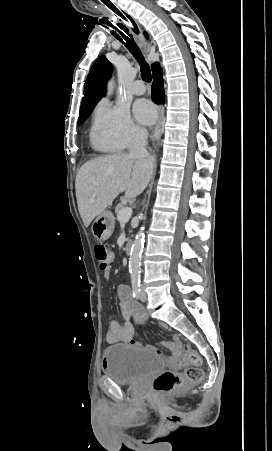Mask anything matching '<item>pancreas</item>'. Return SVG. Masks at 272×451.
<instances>
[{
	"instance_id": "pancreas-1",
	"label": "pancreas",
	"mask_w": 272,
	"mask_h": 451,
	"mask_svg": "<svg viewBox=\"0 0 272 451\" xmlns=\"http://www.w3.org/2000/svg\"><path fill=\"white\" fill-rule=\"evenodd\" d=\"M121 200H127V198H121ZM127 202H128V200H127ZM125 208H126V204H118V206H116V208H115V212H116L117 216H118L119 212H121V210H125Z\"/></svg>"
}]
</instances>
